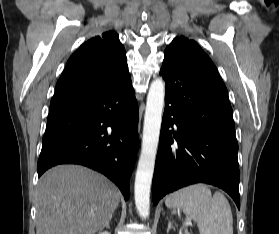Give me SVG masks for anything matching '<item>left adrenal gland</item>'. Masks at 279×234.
<instances>
[{
  "label": "left adrenal gland",
  "mask_w": 279,
  "mask_h": 234,
  "mask_svg": "<svg viewBox=\"0 0 279 234\" xmlns=\"http://www.w3.org/2000/svg\"><path fill=\"white\" fill-rule=\"evenodd\" d=\"M171 229H174V227H173L172 222L169 221V222H168V227H167V233H169V231H170Z\"/></svg>",
  "instance_id": "a2214340"
}]
</instances>
